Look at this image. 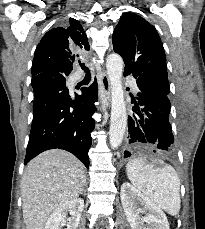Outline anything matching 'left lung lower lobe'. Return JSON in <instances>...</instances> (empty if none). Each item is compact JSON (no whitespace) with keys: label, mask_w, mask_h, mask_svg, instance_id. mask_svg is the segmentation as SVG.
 <instances>
[{"label":"left lung lower lobe","mask_w":205,"mask_h":229,"mask_svg":"<svg viewBox=\"0 0 205 229\" xmlns=\"http://www.w3.org/2000/svg\"><path fill=\"white\" fill-rule=\"evenodd\" d=\"M136 82L140 92L138 101H133V116L128 117L129 150L150 149L170 157L174 137L169 122L171 106L168 95L157 87ZM124 154L125 157L131 155L129 151Z\"/></svg>","instance_id":"left-lung-lower-lobe-1"}]
</instances>
